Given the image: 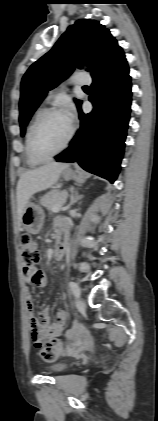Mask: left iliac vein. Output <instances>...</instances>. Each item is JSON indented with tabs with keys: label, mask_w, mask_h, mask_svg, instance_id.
Listing matches in <instances>:
<instances>
[{
	"label": "left iliac vein",
	"mask_w": 158,
	"mask_h": 421,
	"mask_svg": "<svg viewBox=\"0 0 158 421\" xmlns=\"http://www.w3.org/2000/svg\"><path fill=\"white\" fill-rule=\"evenodd\" d=\"M76 306H77L78 309L84 310L85 307H86V304H85V302L82 299L78 298L76 300Z\"/></svg>",
	"instance_id": "left-iliac-vein-1"
}]
</instances>
